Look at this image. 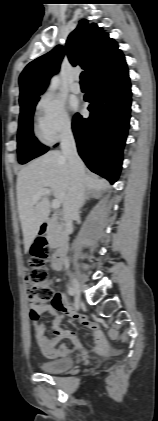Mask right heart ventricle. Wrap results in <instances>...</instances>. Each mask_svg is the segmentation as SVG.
<instances>
[{"mask_svg":"<svg viewBox=\"0 0 158 421\" xmlns=\"http://www.w3.org/2000/svg\"><path fill=\"white\" fill-rule=\"evenodd\" d=\"M38 134H39L40 138L42 139V137H41V135H40L39 131H38ZM42 140H43V139H42Z\"/></svg>","mask_w":158,"mask_h":421,"instance_id":"right-heart-ventricle-1","label":"right heart ventricle"}]
</instances>
